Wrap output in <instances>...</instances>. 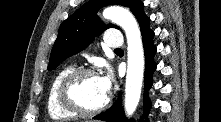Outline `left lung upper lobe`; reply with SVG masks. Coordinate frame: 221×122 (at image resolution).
<instances>
[{
  "instance_id": "left-lung-upper-lobe-1",
  "label": "left lung upper lobe",
  "mask_w": 221,
  "mask_h": 122,
  "mask_svg": "<svg viewBox=\"0 0 221 122\" xmlns=\"http://www.w3.org/2000/svg\"><path fill=\"white\" fill-rule=\"evenodd\" d=\"M138 0H90L80 7L74 14L67 18L60 26L58 37L50 54L48 70L55 69L66 58L80 52L87 47L94 39V36L101 34L105 29L116 25H104L97 17L99 8L117 4L130 8Z\"/></svg>"
}]
</instances>
